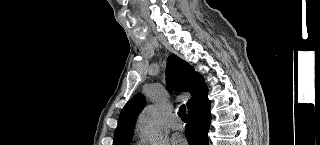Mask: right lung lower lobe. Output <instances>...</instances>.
Instances as JSON below:
<instances>
[{
  "label": "right lung lower lobe",
  "instance_id": "obj_1",
  "mask_svg": "<svg viewBox=\"0 0 320 145\" xmlns=\"http://www.w3.org/2000/svg\"><path fill=\"white\" fill-rule=\"evenodd\" d=\"M189 124L185 134L189 145H208L207 133L210 126V102L207 91L204 96L188 111Z\"/></svg>",
  "mask_w": 320,
  "mask_h": 145
}]
</instances>
